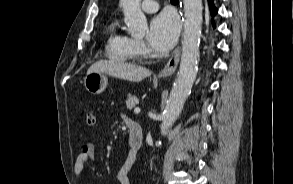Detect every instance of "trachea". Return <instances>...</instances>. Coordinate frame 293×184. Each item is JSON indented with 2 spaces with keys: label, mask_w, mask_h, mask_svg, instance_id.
Segmentation results:
<instances>
[{
  "label": "trachea",
  "mask_w": 293,
  "mask_h": 184,
  "mask_svg": "<svg viewBox=\"0 0 293 184\" xmlns=\"http://www.w3.org/2000/svg\"><path fill=\"white\" fill-rule=\"evenodd\" d=\"M171 2H174V1H179V0H170Z\"/></svg>",
  "instance_id": "3493384b"
}]
</instances>
